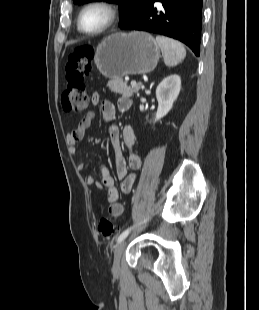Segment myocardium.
Segmentation results:
<instances>
[{
  "mask_svg": "<svg viewBox=\"0 0 259 310\" xmlns=\"http://www.w3.org/2000/svg\"><path fill=\"white\" fill-rule=\"evenodd\" d=\"M91 8H101L105 10L107 13L106 22L100 28L95 29V30H87L83 27V24H82L83 14L88 9H91ZM118 16H119L118 7L114 3L107 1V0H93L87 3L86 5H84L79 11L78 16H77V27L82 33L86 35H99V34L106 32L112 26H114V24L118 20Z\"/></svg>",
  "mask_w": 259,
  "mask_h": 310,
  "instance_id": "myocardium-1",
  "label": "myocardium"
}]
</instances>
